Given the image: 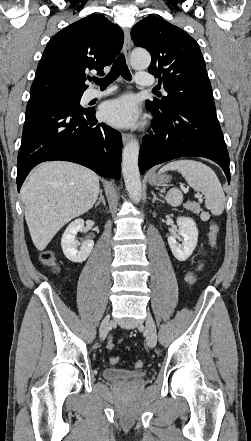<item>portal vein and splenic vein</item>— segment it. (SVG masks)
Listing matches in <instances>:
<instances>
[{"label":"portal vein and splenic vein","mask_w":251,"mask_h":441,"mask_svg":"<svg viewBox=\"0 0 251 441\" xmlns=\"http://www.w3.org/2000/svg\"><path fill=\"white\" fill-rule=\"evenodd\" d=\"M184 192L187 193V192H188V188H185V189H184Z\"/></svg>","instance_id":"1"}]
</instances>
